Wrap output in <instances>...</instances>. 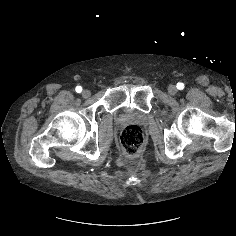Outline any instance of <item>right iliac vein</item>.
<instances>
[{"instance_id":"63e3f726","label":"right iliac vein","mask_w":236,"mask_h":236,"mask_svg":"<svg viewBox=\"0 0 236 236\" xmlns=\"http://www.w3.org/2000/svg\"><path fill=\"white\" fill-rule=\"evenodd\" d=\"M90 95H91V92L89 91V90H83V92H82V96H83V98H88V97H90Z\"/></svg>"}]
</instances>
